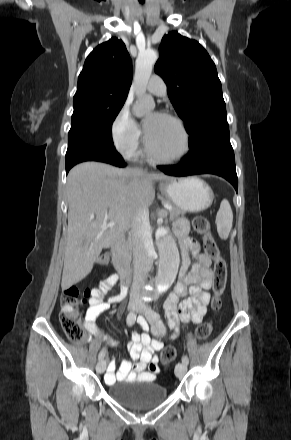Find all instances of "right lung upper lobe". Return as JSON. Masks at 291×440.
Here are the masks:
<instances>
[{
    "mask_svg": "<svg viewBox=\"0 0 291 440\" xmlns=\"http://www.w3.org/2000/svg\"><path fill=\"white\" fill-rule=\"evenodd\" d=\"M132 83V62L117 38L98 45L87 57L78 77L73 103L126 100Z\"/></svg>",
    "mask_w": 291,
    "mask_h": 440,
    "instance_id": "obj_1",
    "label": "right lung upper lobe"
}]
</instances>
